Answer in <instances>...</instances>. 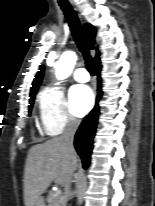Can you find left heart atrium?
<instances>
[{
  "label": "left heart atrium",
  "instance_id": "1",
  "mask_svg": "<svg viewBox=\"0 0 155 206\" xmlns=\"http://www.w3.org/2000/svg\"><path fill=\"white\" fill-rule=\"evenodd\" d=\"M70 104L72 111L82 116L87 113L93 105V93L88 86H74L70 91Z\"/></svg>",
  "mask_w": 155,
  "mask_h": 206
}]
</instances>
